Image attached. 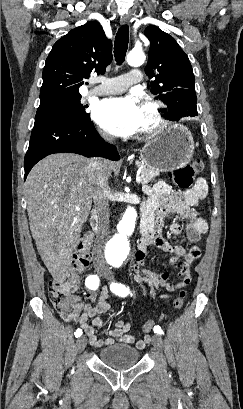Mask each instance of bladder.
Instances as JSON below:
<instances>
[{"mask_svg": "<svg viewBox=\"0 0 243 409\" xmlns=\"http://www.w3.org/2000/svg\"><path fill=\"white\" fill-rule=\"evenodd\" d=\"M98 359L110 368L121 370L136 365L140 359V351L133 346L116 343L100 349Z\"/></svg>", "mask_w": 243, "mask_h": 409, "instance_id": "1", "label": "bladder"}]
</instances>
